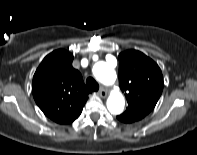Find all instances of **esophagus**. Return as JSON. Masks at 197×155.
Here are the masks:
<instances>
[{"label": "esophagus", "mask_w": 197, "mask_h": 155, "mask_svg": "<svg viewBox=\"0 0 197 155\" xmlns=\"http://www.w3.org/2000/svg\"><path fill=\"white\" fill-rule=\"evenodd\" d=\"M98 94L100 97L105 98V97H107V90L105 88L101 87Z\"/></svg>", "instance_id": "34e87169"}]
</instances>
